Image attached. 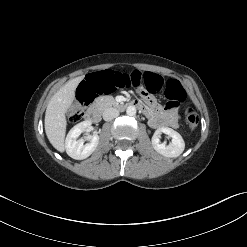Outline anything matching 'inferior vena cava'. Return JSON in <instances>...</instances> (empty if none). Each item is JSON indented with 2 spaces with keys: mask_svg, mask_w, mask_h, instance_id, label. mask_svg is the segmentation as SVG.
<instances>
[{
  "mask_svg": "<svg viewBox=\"0 0 247 247\" xmlns=\"http://www.w3.org/2000/svg\"><path fill=\"white\" fill-rule=\"evenodd\" d=\"M119 115V111L115 108H106L103 112V119L105 121H111L113 120L114 118L118 117Z\"/></svg>",
  "mask_w": 247,
  "mask_h": 247,
  "instance_id": "1",
  "label": "inferior vena cava"
}]
</instances>
